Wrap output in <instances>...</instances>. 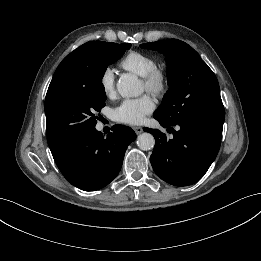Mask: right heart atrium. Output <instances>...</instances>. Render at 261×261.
Wrapping results in <instances>:
<instances>
[{
	"label": "right heart atrium",
	"instance_id": "obj_1",
	"mask_svg": "<svg viewBox=\"0 0 261 261\" xmlns=\"http://www.w3.org/2000/svg\"><path fill=\"white\" fill-rule=\"evenodd\" d=\"M100 87L106 96H111L115 92V74L112 68H105L99 79Z\"/></svg>",
	"mask_w": 261,
	"mask_h": 261
}]
</instances>
